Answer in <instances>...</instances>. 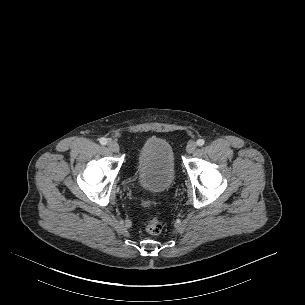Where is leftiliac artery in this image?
Listing matches in <instances>:
<instances>
[{
  "mask_svg": "<svg viewBox=\"0 0 305 305\" xmlns=\"http://www.w3.org/2000/svg\"><path fill=\"white\" fill-rule=\"evenodd\" d=\"M204 143H205L204 139H198V140H197V145H198V146H203Z\"/></svg>",
  "mask_w": 305,
  "mask_h": 305,
  "instance_id": "1",
  "label": "left iliac artery"
}]
</instances>
